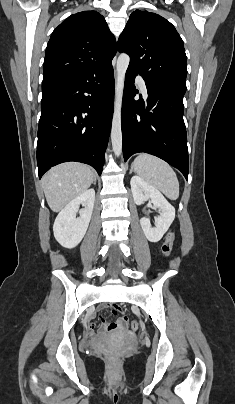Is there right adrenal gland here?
I'll list each match as a JSON object with an SVG mask.
<instances>
[{"label": "right adrenal gland", "mask_w": 235, "mask_h": 404, "mask_svg": "<svg viewBox=\"0 0 235 404\" xmlns=\"http://www.w3.org/2000/svg\"><path fill=\"white\" fill-rule=\"evenodd\" d=\"M93 184L96 185V177L93 179Z\"/></svg>", "instance_id": "right-adrenal-gland-1"}]
</instances>
